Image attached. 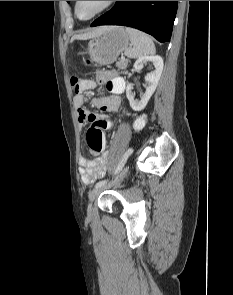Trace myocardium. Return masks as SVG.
<instances>
[{
  "label": "myocardium",
  "mask_w": 233,
  "mask_h": 295,
  "mask_svg": "<svg viewBox=\"0 0 233 295\" xmlns=\"http://www.w3.org/2000/svg\"><path fill=\"white\" fill-rule=\"evenodd\" d=\"M79 3H80V1H75V4H74V12H75L76 17L81 21H89V20H92L95 17L99 16L100 14L106 12L107 10H109L116 3V1H105L104 5L99 10H97L94 14H92L91 16H89L87 18H82L79 16V14H78Z\"/></svg>",
  "instance_id": "f54148a6"
}]
</instances>
